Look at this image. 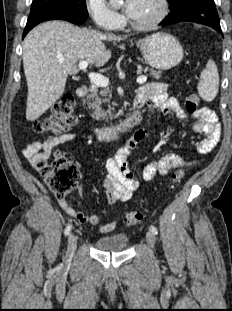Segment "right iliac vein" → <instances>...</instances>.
Listing matches in <instances>:
<instances>
[{"instance_id":"1","label":"right iliac vein","mask_w":232,"mask_h":311,"mask_svg":"<svg viewBox=\"0 0 232 311\" xmlns=\"http://www.w3.org/2000/svg\"><path fill=\"white\" fill-rule=\"evenodd\" d=\"M77 246V236L71 233L68 237V248H67V254H66V260L67 262H70L73 255L74 251Z\"/></svg>"}]
</instances>
